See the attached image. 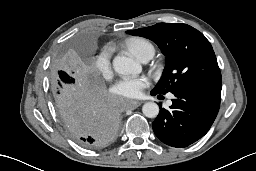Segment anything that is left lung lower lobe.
Segmentation results:
<instances>
[{
    "mask_svg": "<svg viewBox=\"0 0 256 171\" xmlns=\"http://www.w3.org/2000/svg\"><path fill=\"white\" fill-rule=\"evenodd\" d=\"M173 94L170 110L162 108L152 127L163 143L183 148L208 132L219 111L221 91L182 87Z\"/></svg>",
    "mask_w": 256,
    "mask_h": 171,
    "instance_id": "left-lung-lower-lobe-1",
    "label": "left lung lower lobe"
}]
</instances>
